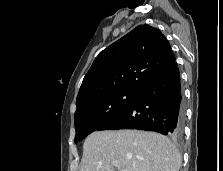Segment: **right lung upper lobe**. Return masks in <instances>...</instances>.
I'll return each mask as SVG.
<instances>
[{"label":"right lung upper lobe","instance_id":"1","mask_svg":"<svg viewBox=\"0 0 223 171\" xmlns=\"http://www.w3.org/2000/svg\"><path fill=\"white\" fill-rule=\"evenodd\" d=\"M174 63V53L161 31L139 25L99 53L83 79L76 107L114 92H139Z\"/></svg>","mask_w":223,"mask_h":171}]
</instances>
